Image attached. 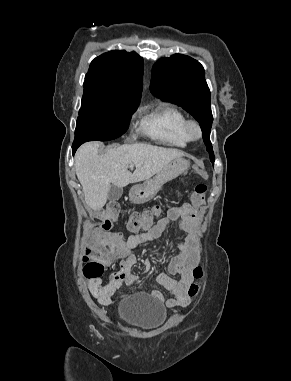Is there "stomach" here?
Masks as SVG:
<instances>
[{
  "label": "stomach",
  "mask_w": 291,
  "mask_h": 381,
  "mask_svg": "<svg viewBox=\"0 0 291 381\" xmlns=\"http://www.w3.org/2000/svg\"><path fill=\"white\" fill-rule=\"evenodd\" d=\"M189 166L190 163L186 159L177 158L173 160L152 179L133 186L129 193L130 200L135 204H142L151 200L165 183L183 174Z\"/></svg>",
  "instance_id": "1"
}]
</instances>
